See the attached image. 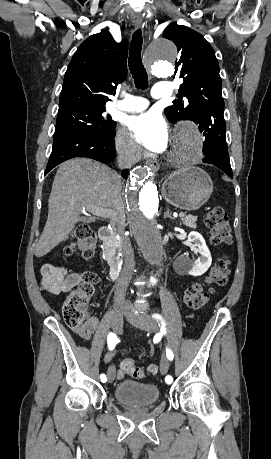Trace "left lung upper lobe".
I'll use <instances>...</instances> for the list:
<instances>
[{
    "instance_id": "1",
    "label": "left lung upper lobe",
    "mask_w": 271,
    "mask_h": 459,
    "mask_svg": "<svg viewBox=\"0 0 271 459\" xmlns=\"http://www.w3.org/2000/svg\"><path fill=\"white\" fill-rule=\"evenodd\" d=\"M163 37L177 46L180 57L176 62V72L183 79L177 97L185 96L189 102L173 101V105L165 109L167 118L173 123L192 120L197 124L224 118L219 64L211 45L201 34L177 23L169 24Z\"/></svg>"
}]
</instances>
